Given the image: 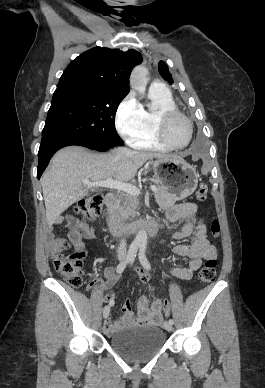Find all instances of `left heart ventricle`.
<instances>
[{
    "mask_svg": "<svg viewBox=\"0 0 265 388\" xmlns=\"http://www.w3.org/2000/svg\"><path fill=\"white\" fill-rule=\"evenodd\" d=\"M165 135L168 141L175 146L184 144L187 140V128L181 117L173 115L165 124Z\"/></svg>",
    "mask_w": 265,
    "mask_h": 388,
    "instance_id": "1",
    "label": "left heart ventricle"
}]
</instances>
